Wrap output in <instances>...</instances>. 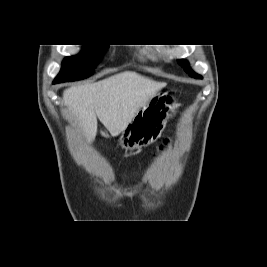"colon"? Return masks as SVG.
<instances>
[{
    "instance_id": "obj_1",
    "label": "colon",
    "mask_w": 267,
    "mask_h": 267,
    "mask_svg": "<svg viewBox=\"0 0 267 267\" xmlns=\"http://www.w3.org/2000/svg\"><path fill=\"white\" fill-rule=\"evenodd\" d=\"M170 143V139L166 138L158 147V152H161L165 147L168 146V144Z\"/></svg>"
}]
</instances>
